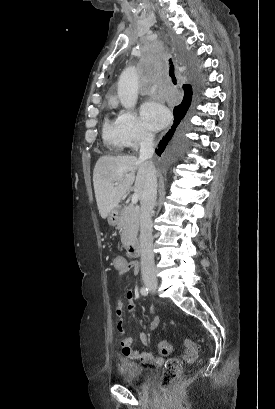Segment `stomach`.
I'll return each mask as SVG.
<instances>
[{"label": "stomach", "instance_id": "1", "mask_svg": "<svg viewBox=\"0 0 275 409\" xmlns=\"http://www.w3.org/2000/svg\"><path fill=\"white\" fill-rule=\"evenodd\" d=\"M120 215H121V207H114L112 209L111 213H109L107 217L108 225H111V227H115V225H118L120 221Z\"/></svg>", "mask_w": 275, "mask_h": 409}]
</instances>
